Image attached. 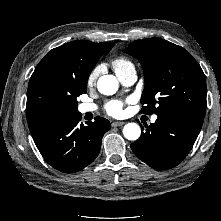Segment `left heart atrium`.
I'll list each match as a JSON object with an SVG mask.
<instances>
[{
  "label": "left heart atrium",
  "mask_w": 221,
  "mask_h": 221,
  "mask_svg": "<svg viewBox=\"0 0 221 221\" xmlns=\"http://www.w3.org/2000/svg\"><path fill=\"white\" fill-rule=\"evenodd\" d=\"M123 102L119 100H112L106 103L105 111L113 117H118L123 114Z\"/></svg>",
  "instance_id": "39dd6f15"
}]
</instances>
